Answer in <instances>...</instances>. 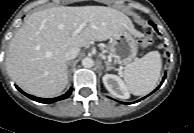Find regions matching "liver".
Masks as SVG:
<instances>
[{
    "instance_id": "obj_1",
    "label": "liver",
    "mask_w": 194,
    "mask_h": 133,
    "mask_svg": "<svg viewBox=\"0 0 194 133\" xmlns=\"http://www.w3.org/2000/svg\"><path fill=\"white\" fill-rule=\"evenodd\" d=\"M84 25L79 34L73 32ZM132 21L124 13L104 6L53 7L32 13L10 40L6 68L26 92L43 98L60 94L68 83L64 57L70 47L105 41Z\"/></svg>"
}]
</instances>
